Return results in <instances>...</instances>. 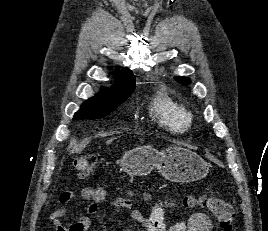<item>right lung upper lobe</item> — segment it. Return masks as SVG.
<instances>
[{"label":"right lung upper lobe","instance_id":"cb5924a9","mask_svg":"<svg viewBox=\"0 0 268 231\" xmlns=\"http://www.w3.org/2000/svg\"><path fill=\"white\" fill-rule=\"evenodd\" d=\"M116 72L115 84L111 91L106 92V95L92 97L84 104L100 102L105 104H118L124 102L135 89V76L130 69H123ZM104 93V92H103Z\"/></svg>","mask_w":268,"mask_h":231}]
</instances>
